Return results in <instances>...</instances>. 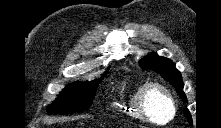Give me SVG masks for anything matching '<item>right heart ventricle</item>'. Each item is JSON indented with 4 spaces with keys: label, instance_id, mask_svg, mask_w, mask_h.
<instances>
[{
    "label": "right heart ventricle",
    "instance_id": "obj_1",
    "mask_svg": "<svg viewBox=\"0 0 221 128\" xmlns=\"http://www.w3.org/2000/svg\"><path fill=\"white\" fill-rule=\"evenodd\" d=\"M144 85V83H140L130 88L126 82L121 84L119 88V100L114 104L120 114L136 118L142 117L139 112L138 98Z\"/></svg>",
    "mask_w": 221,
    "mask_h": 128
}]
</instances>
